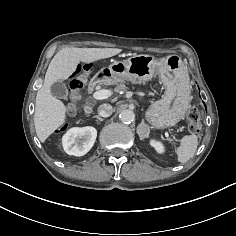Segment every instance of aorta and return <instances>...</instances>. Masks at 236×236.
Returning <instances> with one entry per match:
<instances>
[{
  "mask_svg": "<svg viewBox=\"0 0 236 236\" xmlns=\"http://www.w3.org/2000/svg\"><path fill=\"white\" fill-rule=\"evenodd\" d=\"M119 119L122 123L129 124L134 121L135 114L132 110L126 109L121 111V113L119 114Z\"/></svg>",
  "mask_w": 236,
  "mask_h": 236,
  "instance_id": "aorta-1",
  "label": "aorta"
}]
</instances>
